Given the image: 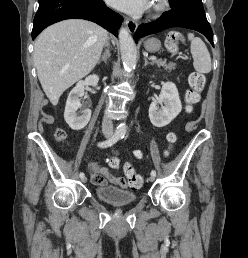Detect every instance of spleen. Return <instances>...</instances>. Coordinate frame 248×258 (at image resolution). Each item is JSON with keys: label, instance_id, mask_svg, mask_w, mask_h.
I'll list each match as a JSON object with an SVG mask.
<instances>
[{"label": "spleen", "instance_id": "3e777b00", "mask_svg": "<svg viewBox=\"0 0 248 258\" xmlns=\"http://www.w3.org/2000/svg\"><path fill=\"white\" fill-rule=\"evenodd\" d=\"M191 41L190 51L193 56V66L198 73H209L211 71V57L205 43L193 33H188Z\"/></svg>", "mask_w": 248, "mask_h": 258}]
</instances>
